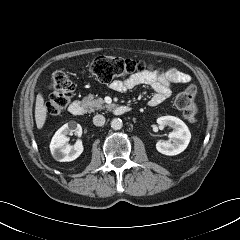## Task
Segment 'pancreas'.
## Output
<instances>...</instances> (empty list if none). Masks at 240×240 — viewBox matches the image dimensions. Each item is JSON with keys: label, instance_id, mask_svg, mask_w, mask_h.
<instances>
[{"label": "pancreas", "instance_id": "cf45deb5", "mask_svg": "<svg viewBox=\"0 0 240 240\" xmlns=\"http://www.w3.org/2000/svg\"><path fill=\"white\" fill-rule=\"evenodd\" d=\"M83 101L91 112L105 108L111 110L114 107V104H105V101L102 98L100 97L95 98L93 94H90L87 97H85Z\"/></svg>", "mask_w": 240, "mask_h": 240}]
</instances>
